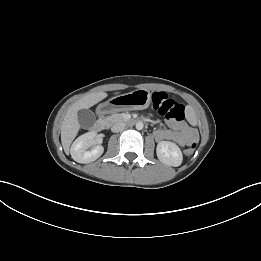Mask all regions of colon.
Returning a JSON list of instances; mask_svg holds the SVG:
<instances>
[{
  "mask_svg": "<svg viewBox=\"0 0 261 261\" xmlns=\"http://www.w3.org/2000/svg\"><path fill=\"white\" fill-rule=\"evenodd\" d=\"M152 105L159 114L165 116L167 119L181 121L184 119L185 109L182 104L170 98L164 92H155L152 95ZM195 144L191 143L185 150V154L190 156L194 153Z\"/></svg>",
  "mask_w": 261,
  "mask_h": 261,
  "instance_id": "1",
  "label": "colon"
}]
</instances>
